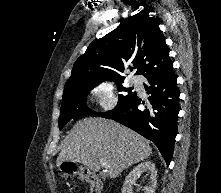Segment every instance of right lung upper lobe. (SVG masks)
<instances>
[{"mask_svg":"<svg viewBox=\"0 0 221 193\" xmlns=\"http://www.w3.org/2000/svg\"><path fill=\"white\" fill-rule=\"evenodd\" d=\"M124 62L133 64L137 69L135 75L144 77L172 68L165 38L155 18L134 15L109 34L94 40L76 60L65 89L94 86L103 80L124 81L125 77L110 69H119Z\"/></svg>","mask_w":221,"mask_h":193,"instance_id":"cb5924a9","label":"right lung upper lobe"}]
</instances>
